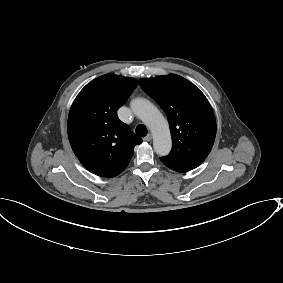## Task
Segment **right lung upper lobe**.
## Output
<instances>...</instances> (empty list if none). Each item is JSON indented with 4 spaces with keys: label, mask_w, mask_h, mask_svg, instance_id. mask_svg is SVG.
<instances>
[{
    "label": "right lung upper lobe",
    "mask_w": 283,
    "mask_h": 283,
    "mask_svg": "<svg viewBox=\"0 0 283 283\" xmlns=\"http://www.w3.org/2000/svg\"><path fill=\"white\" fill-rule=\"evenodd\" d=\"M138 81L115 74L88 83L74 100L68 117L71 147L90 172L102 177L119 175L142 140L117 117Z\"/></svg>",
    "instance_id": "right-lung-upper-lobe-1"
}]
</instances>
